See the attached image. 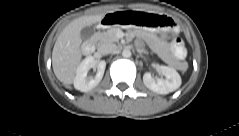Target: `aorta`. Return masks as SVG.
Returning <instances> with one entry per match:
<instances>
[{"label": "aorta", "mask_w": 239, "mask_h": 136, "mask_svg": "<svg viewBox=\"0 0 239 136\" xmlns=\"http://www.w3.org/2000/svg\"><path fill=\"white\" fill-rule=\"evenodd\" d=\"M122 56L125 57V58L131 57V51H130V49L125 48V49L122 51Z\"/></svg>", "instance_id": "aorta-1"}]
</instances>
